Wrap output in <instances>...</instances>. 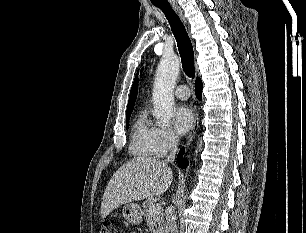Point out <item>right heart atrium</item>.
<instances>
[{"label": "right heart atrium", "mask_w": 306, "mask_h": 233, "mask_svg": "<svg viewBox=\"0 0 306 233\" xmlns=\"http://www.w3.org/2000/svg\"><path fill=\"white\" fill-rule=\"evenodd\" d=\"M178 143L176 134L169 128H155L154 148L155 155L162 157L173 150Z\"/></svg>", "instance_id": "right-heart-atrium-1"}]
</instances>
